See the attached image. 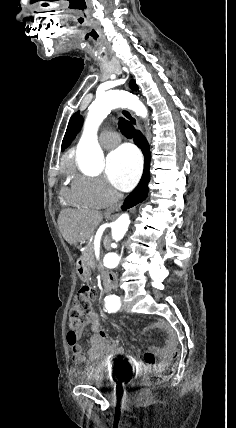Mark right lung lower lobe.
Segmentation results:
<instances>
[{"mask_svg": "<svg viewBox=\"0 0 236 428\" xmlns=\"http://www.w3.org/2000/svg\"><path fill=\"white\" fill-rule=\"evenodd\" d=\"M134 142L139 148H141L144 154V172L138 186L126 198L124 205L122 206L123 210H126L127 208L133 207L143 202L148 194V183L150 181L149 168L151 159L149 145L147 143V140L139 131L136 132Z\"/></svg>", "mask_w": 236, "mask_h": 428, "instance_id": "1", "label": "right lung lower lobe"}]
</instances>
